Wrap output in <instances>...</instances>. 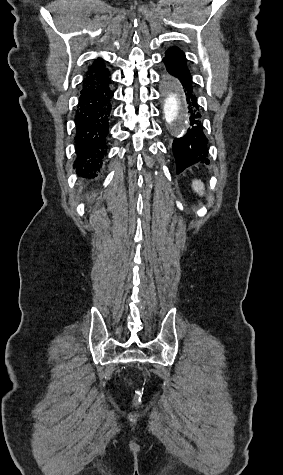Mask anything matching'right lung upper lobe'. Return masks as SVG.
I'll list each match as a JSON object with an SVG mask.
<instances>
[{
  "instance_id": "1",
  "label": "right lung upper lobe",
  "mask_w": 283,
  "mask_h": 475,
  "mask_svg": "<svg viewBox=\"0 0 283 475\" xmlns=\"http://www.w3.org/2000/svg\"><path fill=\"white\" fill-rule=\"evenodd\" d=\"M105 68L103 60L98 58L93 61L92 65L89 67L88 72H96Z\"/></svg>"
}]
</instances>
